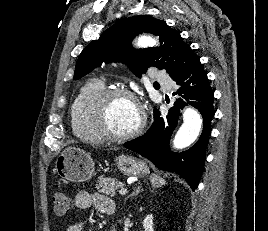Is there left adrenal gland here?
<instances>
[{
  "instance_id": "left-adrenal-gland-1",
  "label": "left adrenal gland",
  "mask_w": 268,
  "mask_h": 231,
  "mask_svg": "<svg viewBox=\"0 0 268 231\" xmlns=\"http://www.w3.org/2000/svg\"><path fill=\"white\" fill-rule=\"evenodd\" d=\"M141 191H143V189H141V185H140V186H138V187L136 188V190H134V192H132V194H130L129 196H127V197L124 199V202H126V200H127L128 198L138 195Z\"/></svg>"
}]
</instances>
